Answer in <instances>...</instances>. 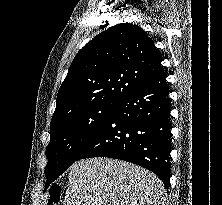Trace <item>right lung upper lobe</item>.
<instances>
[{
  "label": "right lung upper lobe",
  "instance_id": "cb5924a9",
  "mask_svg": "<svg viewBox=\"0 0 222 205\" xmlns=\"http://www.w3.org/2000/svg\"><path fill=\"white\" fill-rule=\"evenodd\" d=\"M162 72L158 50L141 27H110L75 56L58 91L51 124L91 105L121 101Z\"/></svg>",
  "mask_w": 222,
  "mask_h": 205
}]
</instances>
